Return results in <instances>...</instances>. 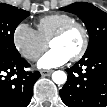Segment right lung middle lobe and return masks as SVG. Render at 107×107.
I'll list each match as a JSON object with an SVG mask.
<instances>
[{"label":"right lung middle lobe","instance_id":"dd1d6c3e","mask_svg":"<svg viewBox=\"0 0 107 107\" xmlns=\"http://www.w3.org/2000/svg\"><path fill=\"white\" fill-rule=\"evenodd\" d=\"M30 13L17 7L0 4V56L4 58L20 57L14 45V31L18 24Z\"/></svg>","mask_w":107,"mask_h":107}]
</instances>
